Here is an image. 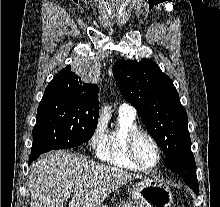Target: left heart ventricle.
<instances>
[{
    "instance_id": "left-heart-ventricle-1",
    "label": "left heart ventricle",
    "mask_w": 220,
    "mask_h": 207,
    "mask_svg": "<svg viewBox=\"0 0 220 207\" xmlns=\"http://www.w3.org/2000/svg\"><path fill=\"white\" fill-rule=\"evenodd\" d=\"M136 153L144 165H153L157 160L156 149L152 142L145 136L138 137L136 141Z\"/></svg>"
}]
</instances>
